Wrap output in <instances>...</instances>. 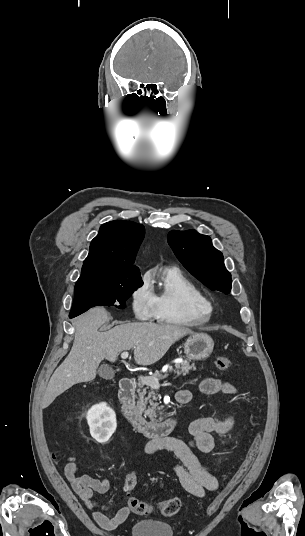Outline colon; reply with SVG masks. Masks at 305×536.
<instances>
[{"instance_id": "obj_1", "label": "colon", "mask_w": 305, "mask_h": 536, "mask_svg": "<svg viewBox=\"0 0 305 536\" xmlns=\"http://www.w3.org/2000/svg\"><path fill=\"white\" fill-rule=\"evenodd\" d=\"M215 366L218 370L226 371L231 366V360L228 357H218L215 360ZM260 445V436L257 435L250 447L248 448L244 459L239 465L238 469L235 471L229 482L220 490L214 497L213 501L209 504L207 508V514L213 515L219 508L220 504L226 497V495L237 485L249 472L254 462L255 456L257 454L258 448ZM125 483L128 490V505L129 507L137 514H151L154 511L160 512L165 517H171L175 515L181 506V502L178 498H170L163 501H158L156 503H147L141 501L134 494L135 492V483L136 477L134 474L129 473L125 477Z\"/></svg>"}]
</instances>
